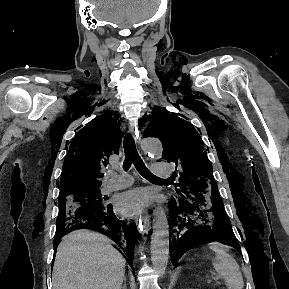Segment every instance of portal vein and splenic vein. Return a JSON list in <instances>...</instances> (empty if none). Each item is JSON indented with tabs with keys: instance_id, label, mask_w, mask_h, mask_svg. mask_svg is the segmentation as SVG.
Here are the masks:
<instances>
[{
	"instance_id": "obj_1",
	"label": "portal vein and splenic vein",
	"mask_w": 289,
	"mask_h": 289,
	"mask_svg": "<svg viewBox=\"0 0 289 289\" xmlns=\"http://www.w3.org/2000/svg\"><path fill=\"white\" fill-rule=\"evenodd\" d=\"M210 280L219 281V278H218V277H211V278L209 279V282H210Z\"/></svg>"
}]
</instances>
